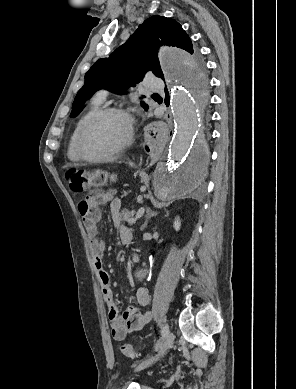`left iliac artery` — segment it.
<instances>
[{
  "label": "left iliac artery",
  "instance_id": "left-iliac-artery-1",
  "mask_svg": "<svg viewBox=\"0 0 296 389\" xmlns=\"http://www.w3.org/2000/svg\"><path fill=\"white\" fill-rule=\"evenodd\" d=\"M169 331V327L168 325H163L162 328H161V335H162V338H164L166 336V334L168 333Z\"/></svg>",
  "mask_w": 296,
  "mask_h": 389
}]
</instances>
